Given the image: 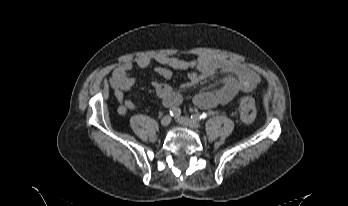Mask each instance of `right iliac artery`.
<instances>
[{"label": "right iliac artery", "mask_w": 348, "mask_h": 206, "mask_svg": "<svg viewBox=\"0 0 348 206\" xmlns=\"http://www.w3.org/2000/svg\"><path fill=\"white\" fill-rule=\"evenodd\" d=\"M169 114L173 117H178L181 114V110L177 107H172L169 109Z\"/></svg>", "instance_id": "1"}]
</instances>
